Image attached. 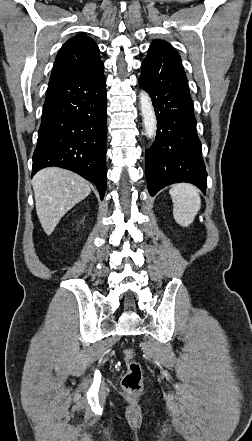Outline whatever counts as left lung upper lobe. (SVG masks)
<instances>
[{"mask_svg": "<svg viewBox=\"0 0 252 441\" xmlns=\"http://www.w3.org/2000/svg\"><path fill=\"white\" fill-rule=\"evenodd\" d=\"M157 42H159V40H155V41H153L152 44H155V43H157ZM152 44H151V45H152Z\"/></svg>", "mask_w": 252, "mask_h": 441, "instance_id": "1", "label": "left lung upper lobe"}]
</instances>
